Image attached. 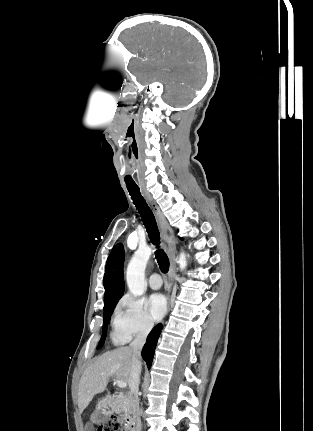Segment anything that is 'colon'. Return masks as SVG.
Returning a JSON list of instances; mask_svg holds the SVG:
<instances>
[{
    "label": "colon",
    "instance_id": "5ec220e1",
    "mask_svg": "<svg viewBox=\"0 0 313 431\" xmlns=\"http://www.w3.org/2000/svg\"><path fill=\"white\" fill-rule=\"evenodd\" d=\"M98 431H126L124 415H113L102 424Z\"/></svg>",
    "mask_w": 313,
    "mask_h": 431
}]
</instances>
